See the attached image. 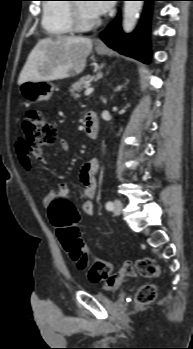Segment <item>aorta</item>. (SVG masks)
<instances>
[{"mask_svg": "<svg viewBox=\"0 0 193 349\" xmlns=\"http://www.w3.org/2000/svg\"><path fill=\"white\" fill-rule=\"evenodd\" d=\"M143 1H125L123 13V30L130 33L137 22Z\"/></svg>", "mask_w": 193, "mask_h": 349, "instance_id": "762f6f07", "label": "aorta"}]
</instances>
